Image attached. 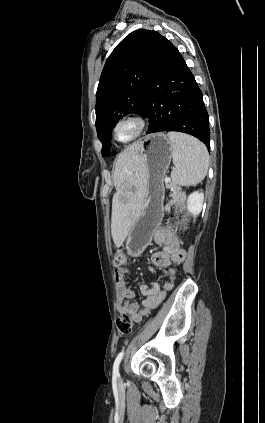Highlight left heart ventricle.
<instances>
[{
	"mask_svg": "<svg viewBox=\"0 0 265 423\" xmlns=\"http://www.w3.org/2000/svg\"><path fill=\"white\" fill-rule=\"evenodd\" d=\"M133 133V127L131 125H125L119 129V137L121 139H127Z\"/></svg>",
	"mask_w": 265,
	"mask_h": 423,
	"instance_id": "b2bd125f",
	"label": "left heart ventricle"
}]
</instances>
